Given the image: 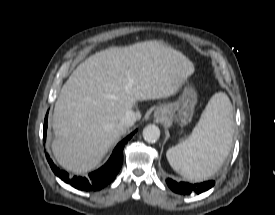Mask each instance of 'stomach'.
<instances>
[{
  "label": "stomach",
  "mask_w": 275,
  "mask_h": 215,
  "mask_svg": "<svg viewBox=\"0 0 275 215\" xmlns=\"http://www.w3.org/2000/svg\"><path fill=\"white\" fill-rule=\"evenodd\" d=\"M196 103L197 93L195 89L192 86H187L176 102L158 107L156 114L166 110L169 118H174L181 125H185L191 120Z\"/></svg>",
  "instance_id": "1"
}]
</instances>
